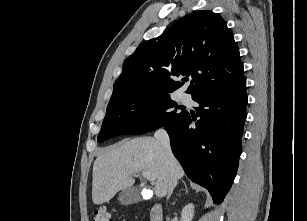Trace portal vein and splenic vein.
<instances>
[{"label":"portal vein and splenic vein","mask_w":307,"mask_h":221,"mask_svg":"<svg viewBox=\"0 0 307 221\" xmlns=\"http://www.w3.org/2000/svg\"><path fill=\"white\" fill-rule=\"evenodd\" d=\"M141 174H142V176H144L149 181L153 182V181L156 180L155 175L153 173H151V172L142 171Z\"/></svg>","instance_id":"portal-vein-and-splenic-vein-1"}]
</instances>
